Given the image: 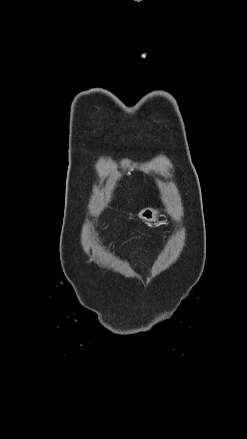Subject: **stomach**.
Masks as SVG:
<instances>
[{"mask_svg": "<svg viewBox=\"0 0 247 439\" xmlns=\"http://www.w3.org/2000/svg\"><path fill=\"white\" fill-rule=\"evenodd\" d=\"M160 209L155 208H145L140 211L139 217L147 222H157L159 217H162Z\"/></svg>", "mask_w": 247, "mask_h": 439, "instance_id": "stomach-1", "label": "stomach"}]
</instances>
